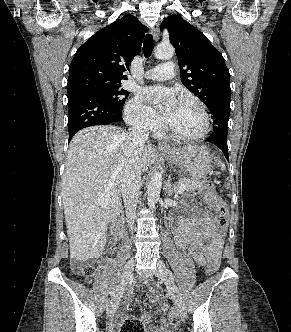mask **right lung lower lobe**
Segmentation results:
<instances>
[{"label": "right lung lower lobe", "instance_id": "1", "mask_svg": "<svg viewBox=\"0 0 291 332\" xmlns=\"http://www.w3.org/2000/svg\"><path fill=\"white\" fill-rule=\"evenodd\" d=\"M122 120V111L97 95L83 92L68 96L69 140L85 127L116 124Z\"/></svg>", "mask_w": 291, "mask_h": 332}]
</instances>
